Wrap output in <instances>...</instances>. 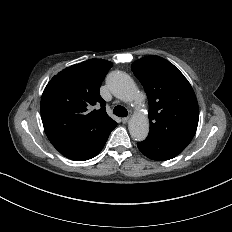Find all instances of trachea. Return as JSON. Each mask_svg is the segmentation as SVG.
Instances as JSON below:
<instances>
[{
  "label": "trachea",
  "instance_id": "trachea-1",
  "mask_svg": "<svg viewBox=\"0 0 232 232\" xmlns=\"http://www.w3.org/2000/svg\"><path fill=\"white\" fill-rule=\"evenodd\" d=\"M113 113L118 117H126L128 115V111L123 106H116L113 109Z\"/></svg>",
  "mask_w": 232,
  "mask_h": 232
}]
</instances>
